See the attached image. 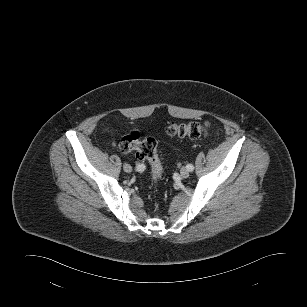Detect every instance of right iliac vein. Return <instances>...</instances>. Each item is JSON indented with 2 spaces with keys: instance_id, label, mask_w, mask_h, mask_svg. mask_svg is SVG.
Instances as JSON below:
<instances>
[{
  "instance_id": "1",
  "label": "right iliac vein",
  "mask_w": 307,
  "mask_h": 307,
  "mask_svg": "<svg viewBox=\"0 0 307 307\" xmlns=\"http://www.w3.org/2000/svg\"><path fill=\"white\" fill-rule=\"evenodd\" d=\"M123 170L127 173H130V172H132V167L129 164H124Z\"/></svg>"
}]
</instances>
